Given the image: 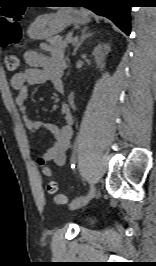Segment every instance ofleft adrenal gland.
Instances as JSON below:
<instances>
[{"label": "left adrenal gland", "mask_w": 156, "mask_h": 266, "mask_svg": "<svg viewBox=\"0 0 156 266\" xmlns=\"http://www.w3.org/2000/svg\"><path fill=\"white\" fill-rule=\"evenodd\" d=\"M88 31V28L87 27H84L82 30H81V37L80 39L76 42L75 44V48H74V51H73V55H76V52L78 50V48L82 45V43L92 35V33L90 32H87Z\"/></svg>", "instance_id": "obj_1"}]
</instances>
